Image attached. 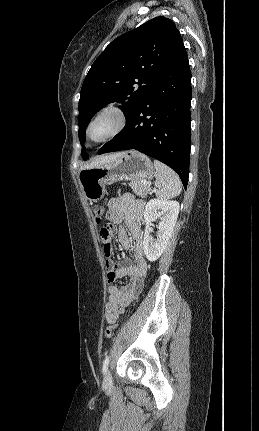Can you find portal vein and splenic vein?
<instances>
[{"instance_id":"18ae733b","label":"portal vein and splenic vein","mask_w":259,"mask_h":431,"mask_svg":"<svg viewBox=\"0 0 259 431\" xmlns=\"http://www.w3.org/2000/svg\"><path fill=\"white\" fill-rule=\"evenodd\" d=\"M142 183H143V184H148V182H147V181H142Z\"/></svg>"}]
</instances>
